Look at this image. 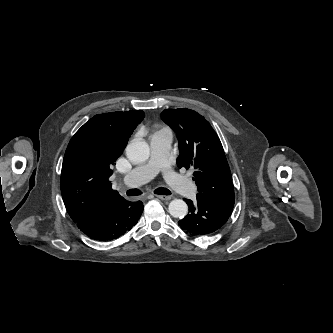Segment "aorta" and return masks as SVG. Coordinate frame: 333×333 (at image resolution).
Masks as SVG:
<instances>
[{
  "label": "aorta",
  "instance_id": "762f6f07",
  "mask_svg": "<svg viewBox=\"0 0 333 333\" xmlns=\"http://www.w3.org/2000/svg\"><path fill=\"white\" fill-rule=\"evenodd\" d=\"M127 158L134 163L145 162L150 155L149 145L145 141L132 140L126 148ZM169 213L175 218H183L188 213L187 204L181 199H174L169 203Z\"/></svg>",
  "mask_w": 333,
  "mask_h": 333
}]
</instances>
